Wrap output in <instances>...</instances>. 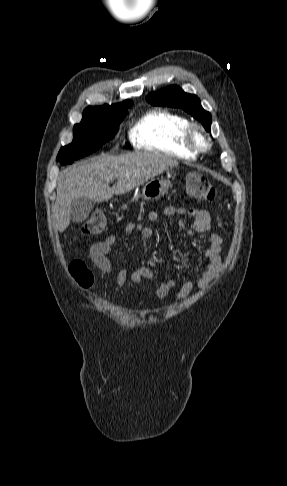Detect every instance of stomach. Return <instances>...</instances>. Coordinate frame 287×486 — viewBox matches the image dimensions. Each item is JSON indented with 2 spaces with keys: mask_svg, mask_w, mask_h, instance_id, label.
Here are the masks:
<instances>
[{
  "mask_svg": "<svg viewBox=\"0 0 287 486\" xmlns=\"http://www.w3.org/2000/svg\"><path fill=\"white\" fill-rule=\"evenodd\" d=\"M169 186L168 180L152 179L142 188V197L147 201L157 200L168 192Z\"/></svg>",
  "mask_w": 287,
  "mask_h": 486,
  "instance_id": "1",
  "label": "stomach"
}]
</instances>
